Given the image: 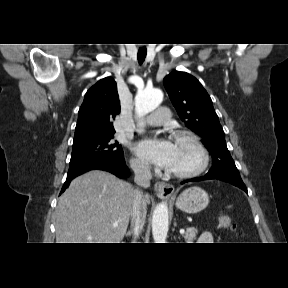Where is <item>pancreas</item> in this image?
Instances as JSON below:
<instances>
[{"instance_id": "1", "label": "pancreas", "mask_w": 288, "mask_h": 288, "mask_svg": "<svg viewBox=\"0 0 288 288\" xmlns=\"http://www.w3.org/2000/svg\"><path fill=\"white\" fill-rule=\"evenodd\" d=\"M197 229L195 228H187L185 233V240L187 243H193V241L196 239Z\"/></svg>"}]
</instances>
